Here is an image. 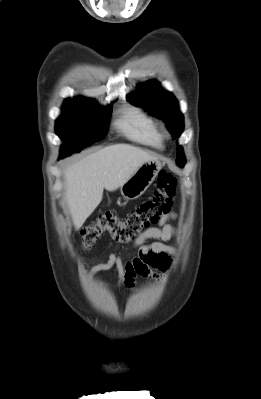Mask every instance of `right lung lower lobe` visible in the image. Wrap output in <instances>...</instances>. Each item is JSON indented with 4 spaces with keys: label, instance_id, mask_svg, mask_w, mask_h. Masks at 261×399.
I'll return each mask as SVG.
<instances>
[{
    "label": "right lung lower lobe",
    "instance_id": "right-lung-lower-lobe-1",
    "mask_svg": "<svg viewBox=\"0 0 261 399\" xmlns=\"http://www.w3.org/2000/svg\"><path fill=\"white\" fill-rule=\"evenodd\" d=\"M60 158H63V156H62V155H60Z\"/></svg>",
    "mask_w": 261,
    "mask_h": 399
}]
</instances>
